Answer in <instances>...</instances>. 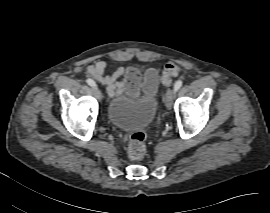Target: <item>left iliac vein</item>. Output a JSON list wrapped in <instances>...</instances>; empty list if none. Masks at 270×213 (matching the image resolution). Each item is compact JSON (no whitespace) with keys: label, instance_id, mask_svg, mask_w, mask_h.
Returning a JSON list of instances; mask_svg holds the SVG:
<instances>
[{"label":"left iliac vein","instance_id":"4c4485c4","mask_svg":"<svg viewBox=\"0 0 270 213\" xmlns=\"http://www.w3.org/2000/svg\"><path fill=\"white\" fill-rule=\"evenodd\" d=\"M175 93H176V91L174 90V88L167 90L166 97H165V105H166L167 109L172 108V103H173V99L175 97Z\"/></svg>","mask_w":270,"mask_h":213}]
</instances>
